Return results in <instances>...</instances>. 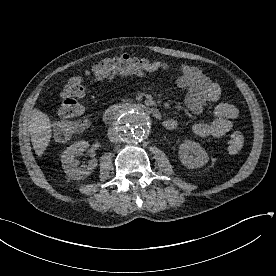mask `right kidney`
<instances>
[{"mask_svg": "<svg viewBox=\"0 0 276 276\" xmlns=\"http://www.w3.org/2000/svg\"><path fill=\"white\" fill-rule=\"evenodd\" d=\"M89 143L86 141L75 142L70 145L62 154L61 162L62 167L66 175L71 179H84L89 176L97 166V160L93 159L88 162L87 165L79 168V161L75 159V156L81 155L87 148Z\"/></svg>", "mask_w": 276, "mask_h": 276, "instance_id": "ca27d5eb", "label": "right kidney"}]
</instances>
